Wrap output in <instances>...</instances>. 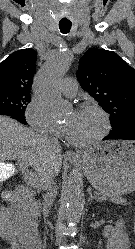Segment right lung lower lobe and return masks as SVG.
I'll use <instances>...</instances> for the list:
<instances>
[{
    "label": "right lung lower lobe",
    "instance_id": "1",
    "mask_svg": "<svg viewBox=\"0 0 135 249\" xmlns=\"http://www.w3.org/2000/svg\"><path fill=\"white\" fill-rule=\"evenodd\" d=\"M0 115H6V116H11L14 119L18 120L19 122L23 123V124H27L25 118H22L20 116H17L15 114H13L12 112L9 111H4V110H0Z\"/></svg>",
    "mask_w": 135,
    "mask_h": 249
}]
</instances>
